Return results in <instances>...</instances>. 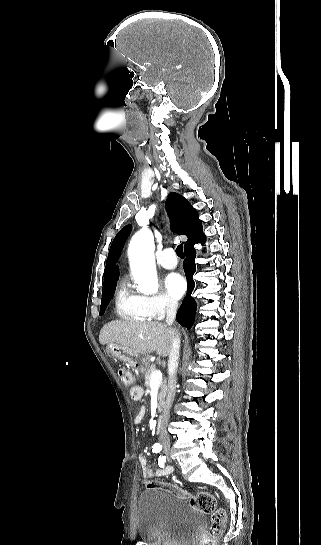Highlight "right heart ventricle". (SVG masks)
Segmentation results:
<instances>
[{
    "instance_id": "obj_1",
    "label": "right heart ventricle",
    "mask_w": 321,
    "mask_h": 545,
    "mask_svg": "<svg viewBox=\"0 0 321 545\" xmlns=\"http://www.w3.org/2000/svg\"><path fill=\"white\" fill-rule=\"evenodd\" d=\"M115 312L117 317L128 322H146V317L139 302V297L121 285L115 295Z\"/></svg>"
}]
</instances>
